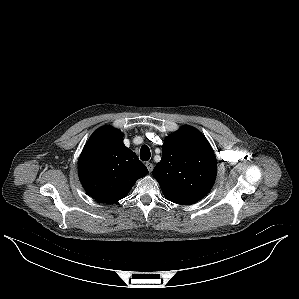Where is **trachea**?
Wrapping results in <instances>:
<instances>
[{
    "label": "trachea",
    "mask_w": 299,
    "mask_h": 299,
    "mask_svg": "<svg viewBox=\"0 0 299 299\" xmlns=\"http://www.w3.org/2000/svg\"><path fill=\"white\" fill-rule=\"evenodd\" d=\"M151 157L150 149L147 145H143L140 149V159L143 161H148Z\"/></svg>",
    "instance_id": "3493384b"
}]
</instances>
